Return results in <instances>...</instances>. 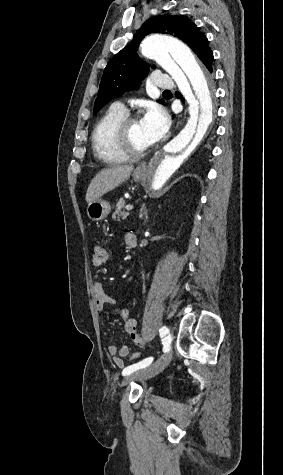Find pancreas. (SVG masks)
I'll use <instances>...</instances> for the list:
<instances>
[{
  "label": "pancreas",
  "instance_id": "1",
  "mask_svg": "<svg viewBox=\"0 0 283 475\" xmlns=\"http://www.w3.org/2000/svg\"><path fill=\"white\" fill-rule=\"evenodd\" d=\"M125 208V200L124 198H120L116 204L115 212L112 214V220H126L127 216H129L128 212H124Z\"/></svg>",
  "mask_w": 283,
  "mask_h": 475
}]
</instances>
